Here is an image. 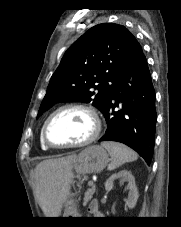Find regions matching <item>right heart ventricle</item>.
Listing matches in <instances>:
<instances>
[{"label":"right heart ventricle","instance_id":"e07e8e85","mask_svg":"<svg viewBox=\"0 0 181 227\" xmlns=\"http://www.w3.org/2000/svg\"><path fill=\"white\" fill-rule=\"evenodd\" d=\"M40 141H41V146L43 149H48V146L46 145V143L44 142L43 138H42V131L40 134Z\"/></svg>","mask_w":181,"mask_h":227}]
</instances>
